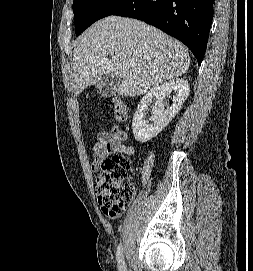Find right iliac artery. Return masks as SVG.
Here are the masks:
<instances>
[{"label": "right iliac artery", "mask_w": 253, "mask_h": 271, "mask_svg": "<svg viewBox=\"0 0 253 271\" xmlns=\"http://www.w3.org/2000/svg\"><path fill=\"white\" fill-rule=\"evenodd\" d=\"M116 259H117L119 271H127L125 261H124V256H123V248H122L121 243L119 244V246L117 248Z\"/></svg>", "instance_id": "obj_1"}]
</instances>
